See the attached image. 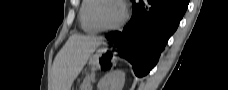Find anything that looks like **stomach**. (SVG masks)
Listing matches in <instances>:
<instances>
[{
  "mask_svg": "<svg viewBox=\"0 0 228 90\" xmlns=\"http://www.w3.org/2000/svg\"><path fill=\"white\" fill-rule=\"evenodd\" d=\"M114 61H115L114 58L110 59L109 57H107L105 55V50L103 48V49L98 50L95 55L91 56V58L89 60V64L92 67L97 68V67H101L108 63L109 64L114 63Z\"/></svg>",
  "mask_w": 228,
  "mask_h": 90,
  "instance_id": "0dacf381",
  "label": "stomach"
}]
</instances>
